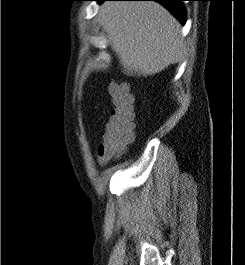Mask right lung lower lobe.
<instances>
[{"mask_svg":"<svg viewBox=\"0 0 245 265\" xmlns=\"http://www.w3.org/2000/svg\"><path fill=\"white\" fill-rule=\"evenodd\" d=\"M99 3L108 0H95ZM125 1H156L165 6L175 17H177L182 24L185 23L186 13L182 1L185 0H125Z\"/></svg>","mask_w":245,"mask_h":265,"instance_id":"obj_1","label":"right lung lower lobe"}]
</instances>
